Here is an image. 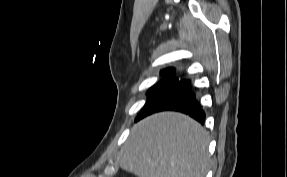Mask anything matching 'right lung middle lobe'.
<instances>
[{"mask_svg": "<svg viewBox=\"0 0 287 177\" xmlns=\"http://www.w3.org/2000/svg\"><path fill=\"white\" fill-rule=\"evenodd\" d=\"M173 71H174L173 68H168V69L162 71V72H161V75H167V74H169V73H171V72H173Z\"/></svg>", "mask_w": 287, "mask_h": 177, "instance_id": "right-lung-middle-lobe-1", "label": "right lung middle lobe"}]
</instances>
